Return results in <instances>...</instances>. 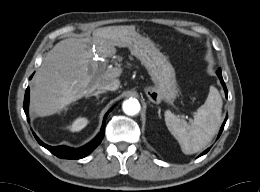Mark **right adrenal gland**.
<instances>
[{"instance_id": "1", "label": "right adrenal gland", "mask_w": 260, "mask_h": 192, "mask_svg": "<svg viewBox=\"0 0 260 192\" xmlns=\"http://www.w3.org/2000/svg\"><path fill=\"white\" fill-rule=\"evenodd\" d=\"M103 93H105V91L98 90V91H96V92H94V93H92L90 95H87L86 98L95 96L96 99H99L100 98V94H103Z\"/></svg>"}]
</instances>
